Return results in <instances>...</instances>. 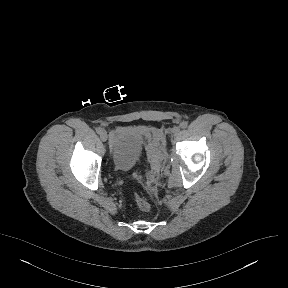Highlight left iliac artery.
<instances>
[{
    "label": "left iliac artery",
    "mask_w": 288,
    "mask_h": 288,
    "mask_svg": "<svg viewBox=\"0 0 288 288\" xmlns=\"http://www.w3.org/2000/svg\"><path fill=\"white\" fill-rule=\"evenodd\" d=\"M187 126H188V122L187 121H183V122L180 123V127L182 129L186 128Z\"/></svg>",
    "instance_id": "left-iliac-artery-1"
}]
</instances>
